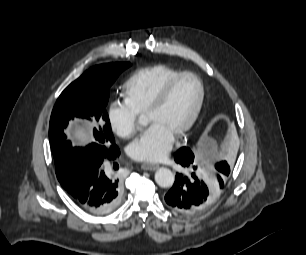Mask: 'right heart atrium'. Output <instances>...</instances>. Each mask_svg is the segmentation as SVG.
<instances>
[{"label":"right heart atrium","mask_w":306,"mask_h":255,"mask_svg":"<svg viewBox=\"0 0 306 255\" xmlns=\"http://www.w3.org/2000/svg\"><path fill=\"white\" fill-rule=\"evenodd\" d=\"M139 114L125 101H113L107 109V118L112 131L122 138L132 136L138 128Z\"/></svg>","instance_id":"right-heart-atrium-1"}]
</instances>
